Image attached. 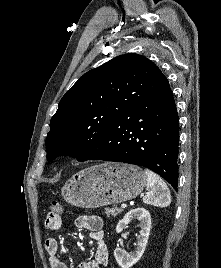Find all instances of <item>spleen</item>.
<instances>
[{
  "mask_svg": "<svg viewBox=\"0 0 221 268\" xmlns=\"http://www.w3.org/2000/svg\"><path fill=\"white\" fill-rule=\"evenodd\" d=\"M144 173L147 179V193L143 197V202L157 207L169 206L171 196L166 183L149 169H145Z\"/></svg>",
  "mask_w": 221,
  "mask_h": 268,
  "instance_id": "3e777b00",
  "label": "spleen"
}]
</instances>
